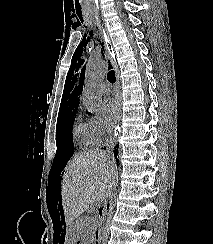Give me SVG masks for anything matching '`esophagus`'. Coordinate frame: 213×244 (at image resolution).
I'll return each mask as SVG.
<instances>
[{
  "mask_svg": "<svg viewBox=\"0 0 213 244\" xmlns=\"http://www.w3.org/2000/svg\"><path fill=\"white\" fill-rule=\"evenodd\" d=\"M105 59H106L107 66L109 68H112L115 71V75H116V96H117V99L119 101V117H118V121H117L116 128H115V129H117L119 126L120 113H121V94H120L119 70H118V66L114 60L112 53L108 51L106 46H105Z\"/></svg>",
  "mask_w": 213,
  "mask_h": 244,
  "instance_id": "obj_1",
  "label": "esophagus"
}]
</instances>
